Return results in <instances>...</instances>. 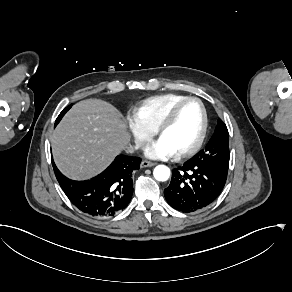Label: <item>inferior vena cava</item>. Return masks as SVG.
Wrapping results in <instances>:
<instances>
[{
    "label": "inferior vena cava",
    "instance_id": "602c4592",
    "mask_svg": "<svg viewBox=\"0 0 292 292\" xmlns=\"http://www.w3.org/2000/svg\"><path fill=\"white\" fill-rule=\"evenodd\" d=\"M128 152H133V148H132V151H128Z\"/></svg>",
    "mask_w": 292,
    "mask_h": 292
}]
</instances>
